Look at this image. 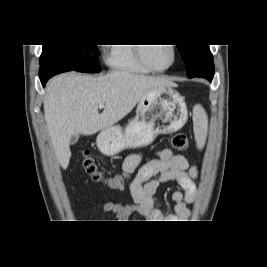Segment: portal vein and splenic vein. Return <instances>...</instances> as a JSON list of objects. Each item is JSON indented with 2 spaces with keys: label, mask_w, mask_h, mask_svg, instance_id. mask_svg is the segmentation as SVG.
Returning a JSON list of instances; mask_svg holds the SVG:
<instances>
[{
  "label": "portal vein and splenic vein",
  "mask_w": 267,
  "mask_h": 267,
  "mask_svg": "<svg viewBox=\"0 0 267 267\" xmlns=\"http://www.w3.org/2000/svg\"><path fill=\"white\" fill-rule=\"evenodd\" d=\"M103 107H104V103H100L99 108H103Z\"/></svg>",
  "instance_id": "portal-vein-and-splenic-vein-1"
}]
</instances>
